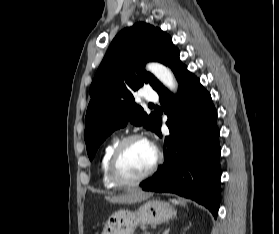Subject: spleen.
Segmentation results:
<instances>
[{"label":"spleen","instance_id":"1","mask_svg":"<svg viewBox=\"0 0 279 234\" xmlns=\"http://www.w3.org/2000/svg\"><path fill=\"white\" fill-rule=\"evenodd\" d=\"M173 203H175V204H179V201L178 200H176V199H173V200H171Z\"/></svg>","mask_w":279,"mask_h":234}]
</instances>
